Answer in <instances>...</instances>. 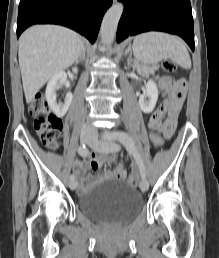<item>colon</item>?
Here are the masks:
<instances>
[{"instance_id": "1", "label": "colon", "mask_w": 219, "mask_h": 258, "mask_svg": "<svg viewBox=\"0 0 219 258\" xmlns=\"http://www.w3.org/2000/svg\"><path fill=\"white\" fill-rule=\"evenodd\" d=\"M162 68L167 73H173L177 69V65L172 60H165ZM29 114L33 119L36 134L42 143L49 149L57 148L62 131V122L59 117L54 115L42 95L33 98L29 106ZM151 142L154 148L159 149L163 146V137L160 132L153 131L150 134ZM137 177L130 175L128 183L135 185Z\"/></svg>"}]
</instances>
